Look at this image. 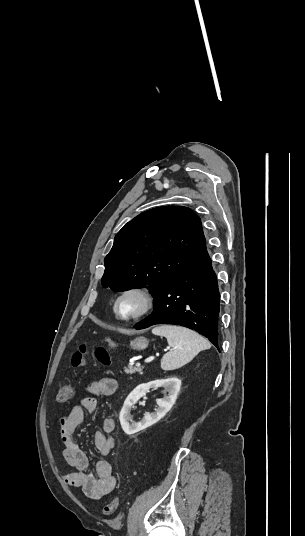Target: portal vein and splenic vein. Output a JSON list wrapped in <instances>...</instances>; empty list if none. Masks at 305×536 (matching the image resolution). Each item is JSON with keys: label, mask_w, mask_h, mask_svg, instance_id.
<instances>
[{"label": "portal vein and splenic vein", "mask_w": 305, "mask_h": 536, "mask_svg": "<svg viewBox=\"0 0 305 536\" xmlns=\"http://www.w3.org/2000/svg\"><path fill=\"white\" fill-rule=\"evenodd\" d=\"M174 350V348H173ZM152 360H154V356H150V358H147V360H145V362H152Z\"/></svg>", "instance_id": "obj_1"}]
</instances>
